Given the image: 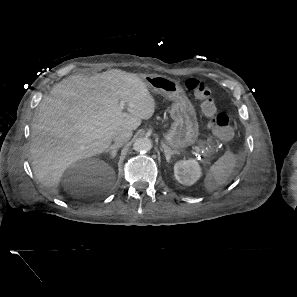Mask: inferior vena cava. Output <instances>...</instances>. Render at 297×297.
Instances as JSON below:
<instances>
[{
  "instance_id": "obj_1",
  "label": "inferior vena cava",
  "mask_w": 297,
  "mask_h": 297,
  "mask_svg": "<svg viewBox=\"0 0 297 297\" xmlns=\"http://www.w3.org/2000/svg\"><path fill=\"white\" fill-rule=\"evenodd\" d=\"M132 136V131L129 129H119L115 132L113 140L116 145L122 146L124 143L128 142Z\"/></svg>"
}]
</instances>
